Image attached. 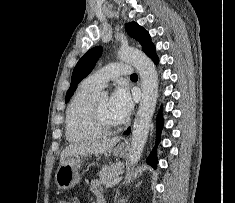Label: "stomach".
Instances as JSON below:
<instances>
[{
	"label": "stomach",
	"mask_w": 235,
	"mask_h": 203,
	"mask_svg": "<svg viewBox=\"0 0 235 203\" xmlns=\"http://www.w3.org/2000/svg\"><path fill=\"white\" fill-rule=\"evenodd\" d=\"M127 152V147L124 144H119L112 148L108 153H113L115 156L123 157ZM87 156L69 157L59 165L55 174V182L60 189H70L78 184L81 180L80 168Z\"/></svg>",
	"instance_id": "1"
}]
</instances>
